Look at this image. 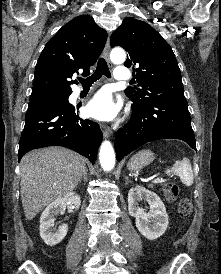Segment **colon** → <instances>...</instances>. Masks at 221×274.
<instances>
[{
  "mask_svg": "<svg viewBox=\"0 0 221 274\" xmlns=\"http://www.w3.org/2000/svg\"><path fill=\"white\" fill-rule=\"evenodd\" d=\"M163 196L168 202H175L178 214L187 217L192 211V203L188 198L179 199V188L175 183L167 182L163 186Z\"/></svg>",
  "mask_w": 221,
  "mask_h": 274,
  "instance_id": "5ec220e1",
  "label": "colon"
}]
</instances>
